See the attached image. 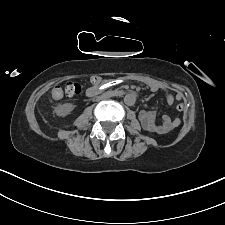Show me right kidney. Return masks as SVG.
Listing matches in <instances>:
<instances>
[{
    "instance_id": "1",
    "label": "right kidney",
    "mask_w": 225,
    "mask_h": 225,
    "mask_svg": "<svg viewBox=\"0 0 225 225\" xmlns=\"http://www.w3.org/2000/svg\"><path fill=\"white\" fill-rule=\"evenodd\" d=\"M74 109V105L71 103H65L55 107L54 111L58 116L65 117L69 115Z\"/></svg>"
}]
</instances>
